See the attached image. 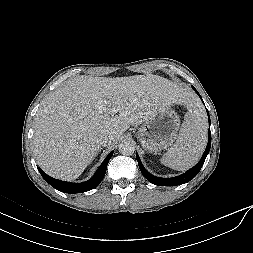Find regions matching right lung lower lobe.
<instances>
[{
	"label": "right lung lower lobe",
	"instance_id": "obj_1",
	"mask_svg": "<svg viewBox=\"0 0 253 253\" xmlns=\"http://www.w3.org/2000/svg\"><path fill=\"white\" fill-rule=\"evenodd\" d=\"M113 152H111L105 160L102 162L98 170L96 171L95 175L88 181L82 182V183H70L65 182L61 180L54 179L50 176H48L46 173H44L40 168H38L40 174L42 177L55 189L64 192V193H82L89 190L94 189L98 184L103 180L108 162L110 158L112 157Z\"/></svg>",
	"mask_w": 253,
	"mask_h": 253
}]
</instances>
